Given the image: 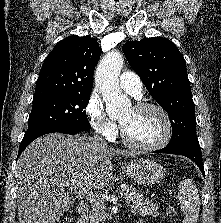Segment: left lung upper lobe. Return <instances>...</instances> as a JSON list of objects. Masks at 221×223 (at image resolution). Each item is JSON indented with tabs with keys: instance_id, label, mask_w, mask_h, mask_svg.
<instances>
[{
	"instance_id": "obj_1",
	"label": "left lung upper lobe",
	"mask_w": 221,
	"mask_h": 223,
	"mask_svg": "<svg viewBox=\"0 0 221 223\" xmlns=\"http://www.w3.org/2000/svg\"><path fill=\"white\" fill-rule=\"evenodd\" d=\"M122 49L150 95L170 116L172 137L168 145L198 143L186 62L175 44L152 37L129 41Z\"/></svg>"
}]
</instances>
